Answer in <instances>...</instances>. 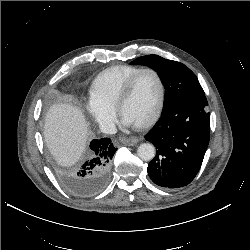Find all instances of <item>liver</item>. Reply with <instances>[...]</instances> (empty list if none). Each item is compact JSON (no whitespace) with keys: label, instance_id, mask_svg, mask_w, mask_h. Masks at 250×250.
<instances>
[{"label":"liver","instance_id":"6515ba94","mask_svg":"<svg viewBox=\"0 0 250 250\" xmlns=\"http://www.w3.org/2000/svg\"><path fill=\"white\" fill-rule=\"evenodd\" d=\"M87 126L79 107L68 103L50 107L45 119L44 137L59 165L72 166L80 159L86 147Z\"/></svg>","mask_w":250,"mask_h":250}]
</instances>
